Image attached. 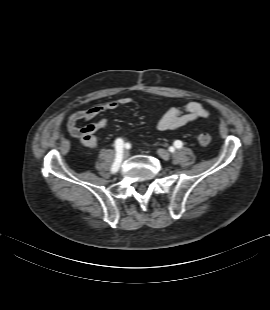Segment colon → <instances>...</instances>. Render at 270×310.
I'll list each match as a JSON object with an SVG mask.
<instances>
[{
  "instance_id": "colon-1",
  "label": "colon",
  "mask_w": 270,
  "mask_h": 310,
  "mask_svg": "<svg viewBox=\"0 0 270 310\" xmlns=\"http://www.w3.org/2000/svg\"><path fill=\"white\" fill-rule=\"evenodd\" d=\"M197 141L201 146H207L211 143V135L206 131H199Z\"/></svg>"
}]
</instances>
